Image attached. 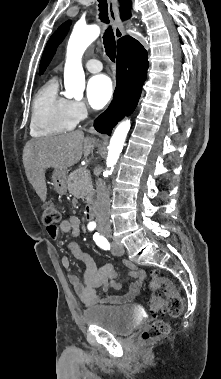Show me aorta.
<instances>
[{"mask_svg": "<svg viewBox=\"0 0 221 379\" xmlns=\"http://www.w3.org/2000/svg\"><path fill=\"white\" fill-rule=\"evenodd\" d=\"M100 34L97 25H76L69 38L64 68L65 96L81 99L85 89V75L82 68V56L87 47L95 41ZM130 120H123L113 132L108 147L106 159L107 172H112L122 152L125 139L130 129Z\"/></svg>", "mask_w": 221, "mask_h": 379, "instance_id": "1", "label": "aorta"}]
</instances>
